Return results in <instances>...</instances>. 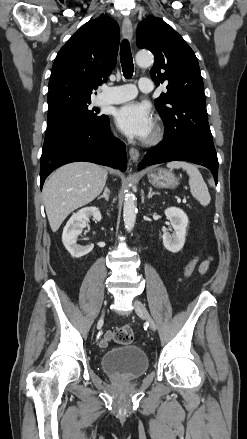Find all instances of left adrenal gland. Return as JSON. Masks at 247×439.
Returning a JSON list of instances; mask_svg holds the SVG:
<instances>
[{
    "label": "left adrenal gland",
    "instance_id": "1",
    "mask_svg": "<svg viewBox=\"0 0 247 439\" xmlns=\"http://www.w3.org/2000/svg\"><path fill=\"white\" fill-rule=\"evenodd\" d=\"M148 189H149V192H148V195H147L148 199L152 198L154 195H159L158 192H153L152 191V187H149Z\"/></svg>",
    "mask_w": 247,
    "mask_h": 439
}]
</instances>
